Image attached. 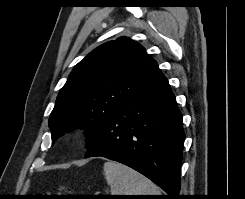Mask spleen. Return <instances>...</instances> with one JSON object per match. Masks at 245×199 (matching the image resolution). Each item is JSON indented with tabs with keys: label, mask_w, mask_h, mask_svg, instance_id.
<instances>
[{
	"label": "spleen",
	"mask_w": 245,
	"mask_h": 199,
	"mask_svg": "<svg viewBox=\"0 0 245 199\" xmlns=\"http://www.w3.org/2000/svg\"><path fill=\"white\" fill-rule=\"evenodd\" d=\"M103 174L111 195H161L160 189L153 182L121 163L105 162Z\"/></svg>",
	"instance_id": "1"
}]
</instances>
